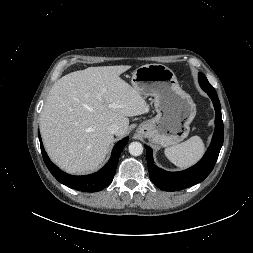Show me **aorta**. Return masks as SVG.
Listing matches in <instances>:
<instances>
[{
  "label": "aorta",
  "mask_w": 253,
  "mask_h": 253,
  "mask_svg": "<svg viewBox=\"0 0 253 253\" xmlns=\"http://www.w3.org/2000/svg\"><path fill=\"white\" fill-rule=\"evenodd\" d=\"M129 153L133 156H140L143 153V146L140 142H132L130 143Z\"/></svg>",
  "instance_id": "1"
}]
</instances>
